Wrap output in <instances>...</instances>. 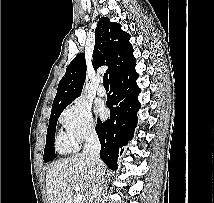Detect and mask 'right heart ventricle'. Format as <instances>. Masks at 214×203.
Returning <instances> with one entry per match:
<instances>
[{"mask_svg":"<svg viewBox=\"0 0 214 203\" xmlns=\"http://www.w3.org/2000/svg\"><path fill=\"white\" fill-rule=\"evenodd\" d=\"M56 147L60 153H68L75 149V145L63 133L57 135Z\"/></svg>","mask_w":214,"mask_h":203,"instance_id":"e07e8e85","label":"right heart ventricle"}]
</instances>
